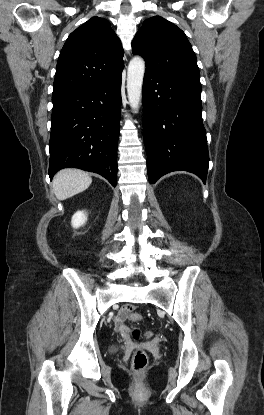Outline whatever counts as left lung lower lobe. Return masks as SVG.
<instances>
[{
  "label": "left lung lower lobe",
  "instance_id": "obj_1",
  "mask_svg": "<svg viewBox=\"0 0 264 415\" xmlns=\"http://www.w3.org/2000/svg\"><path fill=\"white\" fill-rule=\"evenodd\" d=\"M142 101L150 184L178 170L192 172L205 183L209 154L200 82L146 70Z\"/></svg>",
  "mask_w": 264,
  "mask_h": 415
}]
</instances>
